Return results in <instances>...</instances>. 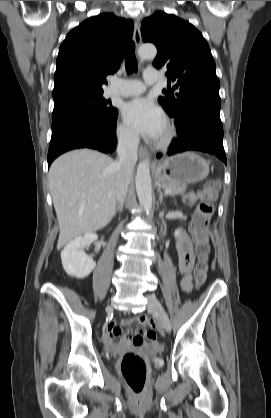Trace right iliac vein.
I'll return each mask as SVG.
<instances>
[{
	"instance_id": "right-iliac-vein-1",
	"label": "right iliac vein",
	"mask_w": 271,
	"mask_h": 418,
	"mask_svg": "<svg viewBox=\"0 0 271 418\" xmlns=\"http://www.w3.org/2000/svg\"><path fill=\"white\" fill-rule=\"evenodd\" d=\"M106 310L107 311H110L111 310V306H107Z\"/></svg>"
}]
</instances>
